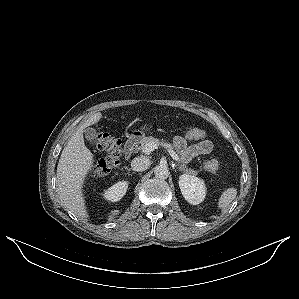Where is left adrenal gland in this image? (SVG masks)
Here are the masks:
<instances>
[{
    "instance_id": "left-adrenal-gland-1",
    "label": "left adrenal gland",
    "mask_w": 299,
    "mask_h": 299,
    "mask_svg": "<svg viewBox=\"0 0 299 299\" xmlns=\"http://www.w3.org/2000/svg\"><path fill=\"white\" fill-rule=\"evenodd\" d=\"M176 167H177V169H179L180 171L184 170V168H185L184 165H183V166H182V165H181V166H176Z\"/></svg>"
}]
</instances>
